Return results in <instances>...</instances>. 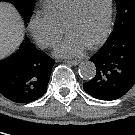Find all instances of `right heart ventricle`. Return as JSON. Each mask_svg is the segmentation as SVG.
Returning a JSON list of instances; mask_svg holds the SVG:
<instances>
[{"mask_svg": "<svg viewBox=\"0 0 135 135\" xmlns=\"http://www.w3.org/2000/svg\"><path fill=\"white\" fill-rule=\"evenodd\" d=\"M76 1L77 0H47L43 7L44 13L47 14L58 27H63Z\"/></svg>", "mask_w": 135, "mask_h": 135, "instance_id": "right-heart-ventricle-1", "label": "right heart ventricle"}]
</instances>
